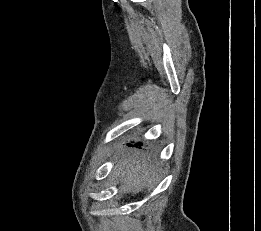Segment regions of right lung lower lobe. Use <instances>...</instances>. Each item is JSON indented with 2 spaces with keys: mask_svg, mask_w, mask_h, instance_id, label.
<instances>
[{
  "mask_svg": "<svg viewBox=\"0 0 261 231\" xmlns=\"http://www.w3.org/2000/svg\"><path fill=\"white\" fill-rule=\"evenodd\" d=\"M128 146H130V147H133L134 145H132V144H127ZM139 145H141L140 143H137V144H135V146H139Z\"/></svg>",
  "mask_w": 261,
  "mask_h": 231,
  "instance_id": "1",
  "label": "right lung lower lobe"
}]
</instances>
